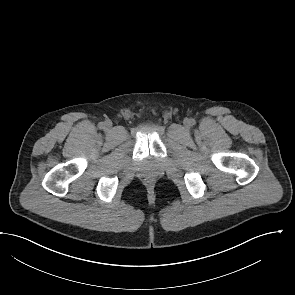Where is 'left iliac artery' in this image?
Here are the masks:
<instances>
[{
    "label": "left iliac artery",
    "instance_id": "44dca946",
    "mask_svg": "<svg viewBox=\"0 0 295 295\" xmlns=\"http://www.w3.org/2000/svg\"><path fill=\"white\" fill-rule=\"evenodd\" d=\"M191 125L195 124V120L194 119H190Z\"/></svg>",
    "mask_w": 295,
    "mask_h": 295
}]
</instances>
